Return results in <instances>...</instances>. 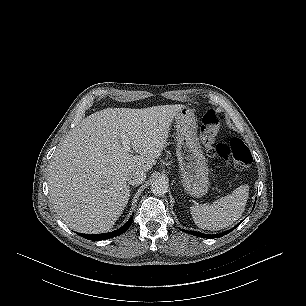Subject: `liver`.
Wrapping results in <instances>:
<instances>
[{"label":"liver","mask_w":306,"mask_h":306,"mask_svg":"<svg viewBox=\"0 0 306 306\" xmlns=\"http://www.w3.org/2000/svg\"><path fill=\"white\" fill-rule=\"evenodd\" d=\"M184 107L107 108L83 119L59 143L49 166L50 200L62 221L81 233L110 231L129 201V174L153 167ZM122 133L137 155L123 147Z\"/></svg>","instance_id":"1"}]
</instances>
